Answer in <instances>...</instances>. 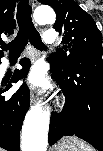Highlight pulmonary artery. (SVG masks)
I'll use <instances>...</instances> for the list:
<instances>
[{
  "label": "pulmonary artery",
  "instance_id": "obj_1",
  "mask_svg": "<svg viewBox=\"0 0 103 151\" xmlns=\"http://www.w3.org/2000/svg\"><path fill=\"white\" fill-rule=\"evenodd\" d=\"M56 40V33L52 30L46 31L44 33V41L47 44H52Z\"/></svg>",
  "mask_w": 103,
  "mask_h": 151
}]
</instances>
